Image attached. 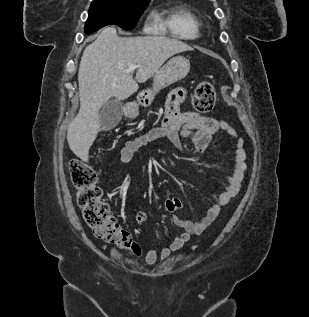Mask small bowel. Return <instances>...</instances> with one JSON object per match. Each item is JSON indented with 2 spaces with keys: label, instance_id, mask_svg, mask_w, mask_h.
<instances>
[{
  "label": "small bowel",
  "instance_id": "1",
  "mask_svg": "<svg viewBox=\"0 0 309 317\" xmlns=\"http://www.w3.org/2000/svg\"><path fill=\"white\" fill-rule=\"evenodd\" d=\"M186 98L184 88L174 89L168 96L165 115L161 126L153 128L146 133L129 140L120 151V160L129 163L133 155L141 147L160 139H166L176 149H184V141L189 140L199 153H207L213 137L224 132L235 141L232 172L226 178V188L223 192L213 196L214 203L198 221H189L175 215L181 208V201L177 198L168 199L163 206L166 213L173 214L175 225L182 228V232L175 236L172 243L159 252L150 249L145 254L148 264H155L159 260L168 258L172 253L180 250L192 235L202 233L218 216L221 207L235 197L241 188V182L246 170V154L243 148V139L236 130L226 121L203 116L196 112H180V105ZM147 213L140 211L136 215L139 224L147 220Z\"/></svg>",
  "mask_w": 309,
  "mask_h": 317
}]
</instances>
